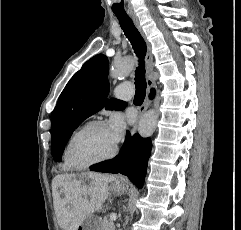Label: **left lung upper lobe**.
I'll list each match as a JSON object with an SVG mask.
<instances>
[{
    "label": "left lung upper lobe",
    "instance_id": "obj_1",
    "mask_svg": "<svg viewBox=\"0 0 241 230\" xmlns=\"http://www.w3.org/2000/svg\"><path fill=\"white\" fill-rule=\"evenodd\" d=\"M109 61L103 54L88 60L66 85L51 116L52 156L56 162L72 132L89 116L106 109L122 110L126 103L107 99Z\"/></svg>",
    "mask_w": 241,
    "mask_h": 230
}]
</instances>
